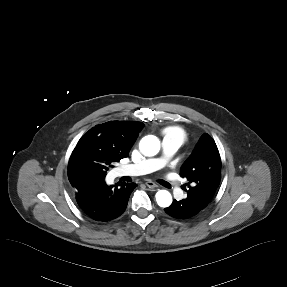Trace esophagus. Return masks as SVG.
Returning a JSON list of instances; mask_svg holds the SVG:
<instances>
[{"mask_svg": "<svg viewBox=\"0 0 287 287\" xmlns=\"http://www.w3.org/2000/svg\"><path fill=\"white\" fill-rule=\"evenodd\" d=\"M145 184H146L147 187L152 188V189H157L158 188V186L152 181H147Z\"/></svg>", "mask_w": 287, "mask_h": 287, "instance_id": "obj_1", "label": "esophagus"}]
</instances>
